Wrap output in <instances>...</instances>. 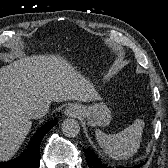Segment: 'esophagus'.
Here are the masks:
<instances>
[{
	"label": "esophagus",
	"instance_id": "obj_1",
	"mask_svg": "<svg viewBox=\"0 0 168 168\" xmlns=\"http://www.w3.org/2000/svg\"><path fill=\"white\" fill-rule=\"evenodd\" d=\"M64 113L68 117H79L81 115V107L77 104H70L66 107Z\"/></svg>",
	"mask_w": 168,
	"mask_h": 168
}]
</instances>
